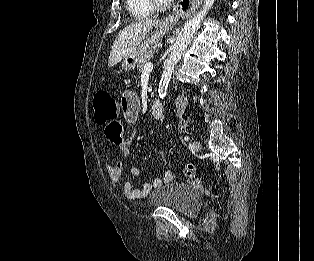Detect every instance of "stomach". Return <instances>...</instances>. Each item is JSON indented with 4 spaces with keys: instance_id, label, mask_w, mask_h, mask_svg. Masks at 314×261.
<instances>
[{
    "instance_id": "0dacf381",
    "label": "stomach",
    "mask_w": 314,
    "mask_h": 261,
    "mask_svg": "<svg viewBox=\"0 0 314 261\" xmlns=\"http://www.w3.org/2000/svg\"><path fill=\"white\" fill-rule=\"evenodd\" d=\"M166 31L167 26H165V23L161 22L157 29L143 43H141L130 55L124 58L122 68L125 71L133 70L144 53L143 47L145 46V50L151 48L160 40Z\"/></svg>"
}]
</instances>
